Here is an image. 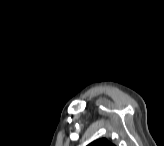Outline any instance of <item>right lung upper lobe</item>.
<instances>
[{
	"mask_svg": "<svg viewBox=\"0 0 164 146\" xmlns=\"http://www.w3.org/2000/svg\"><path fill=\"white\" fill-rule=\"evenodd\" d=\"M89 146H113V145L107 139L102 138L92 142L91 144H89Z\"/></svg>",
	"mask_w": 164,
	"mask_h": 146,
	"instance_id": "right-lung-upper-lobe-1",
	"label": "right lung upper lobe"
}]
</instances>
